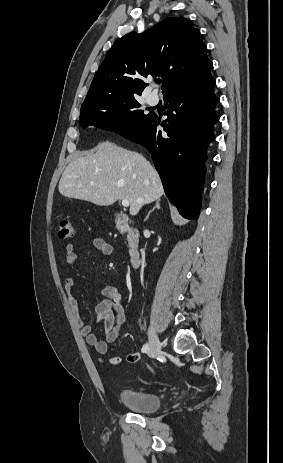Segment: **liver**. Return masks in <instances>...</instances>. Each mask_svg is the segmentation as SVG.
Instances as JSON below:
<instances>
[{"instance_id": "liver-1", "label": "liver", "mask_w": 283, "mask_h": 463, "mask_svg": "<svg viewBox=\"0 0 283 463\" xmlns=\"http://www.w3.org/2000/svg\"><path fill=\"white\" fill-rule=\"evenodd\" d=\"M58 189L65 197L100 206L126 199L132 216L164 193L156 169L145 157L108 141L98 144L95 153L73 160Z\"/></svg>"}]
</instances>
